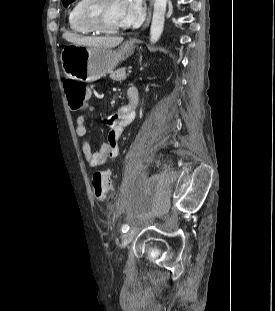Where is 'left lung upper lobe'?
Here are the masks:
<instances>
[{
  "label": "left lung upper lobe",
  "instance_id": "1",
  "mask_svg": "<svg viewBox=\"0 0 275 311\" xmlns=\"http://www.w3.org/2000/svg\"><path fill=\"white\" fill-rule=\"evenodd\" d=\"M74 0H62L63 4L66 6L70 3H72Z\"/></svg>",
  "mask_w": 275,
  "mask_h": 311
}]
</instances>
